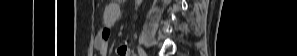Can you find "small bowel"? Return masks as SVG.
I'll use <instances>...</instances> for the list:
<instances>
[{"label":"small bowel","mask_w":297,"mask_h":56,"mask_svg":"<svg viewBox=\"0 0 297 56\" xmlns=\"http://www.w3.org/2000/svg\"><path fill=\"white\" fill-rule=\"evenodd\" d=\"M120 17V1L110 2L103 14L104 28L99 32L96 40V48L100 55L106 56L108 52V39L110 28L116 23ZM118 55L124 56L127 54V48L121 45L117 50Z\"/></svg>","instance_id":"c3829d8e"}]
</instances>
